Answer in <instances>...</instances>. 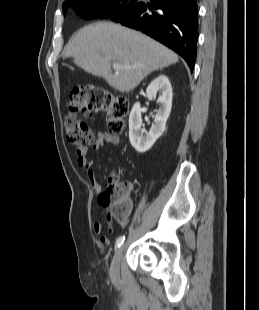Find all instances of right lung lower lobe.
Wrapping results in <instances>:
<instances>
[{"label":"right lung lower lobe","instance_id":"obj_1","mask_svg":"<svg viewBox=\"0 0 259 310\" xmlns=\"http://www.w3.org/2000/svg\"><path fill=\"white\" fill-rule=\"evenodd\" d=\"M150 1L152 6L139 3L118 22L142 31L177 52L192 72L198 40L197 0Z\"/></svg>","mask_w":259,"mask_h":310}]
</instances>
